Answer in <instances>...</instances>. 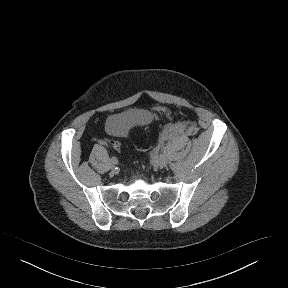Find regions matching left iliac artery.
I'll return each instance as SVG.
<instances>
[{"instance_id": "44dca946", "label": "left iliac artery", "mask_w": 288, "mask_h": 288, "mask_svg": "<svg viewBox=\"0 0 288 288\" xmlns=\"http://www.w3.org/2000/svg\"><path fill=\"white\" fill-rule=\"evenodd\" d=\"M159 156L162 157V156H164V154H163L162 152H160V153H159Z\"/></svg>"}]
</instances>
